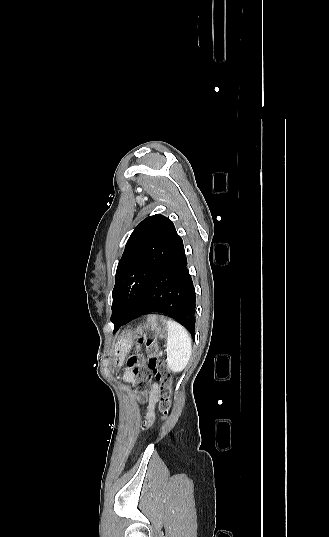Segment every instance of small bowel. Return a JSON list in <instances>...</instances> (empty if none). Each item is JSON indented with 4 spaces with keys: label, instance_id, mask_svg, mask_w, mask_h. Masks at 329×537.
I'll return each instance as SVG.
<instances>
[{
    "label": "small bowel",
    "instance_id": "small-bowel-1",
    "mask_svg": "<svg viewBox=\"0 0 329 537\" xmlns=\"http://www.w3.org/2000/svg\"><path fill=\"white\" fill-rule=\"evenodd\" d=\"M124 377L126 381L132 382L135 378V375L131 369H127ZM157 390H158V385L154 383L153 388L150 393V403H149V411H148L149 418H152L154 416L155 402L157 400Z\"/></svg>",
    "mask_w": 329,
    "mask_h": 537
}]
</instances>
